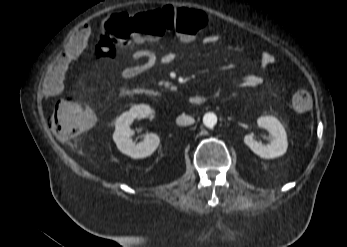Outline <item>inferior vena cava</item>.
Listing matches in <instances>:
<instances>
[{
    "instance_id": "602c4592",
    "label": "inferior vena cava",
    "mask_w": 347,
    "mask_h": 247,
    "mask_svg": "<svg viewBox=\"0 0 347 247\" xmlns=\"http://www.w3.org/2000/svg\"><path fill=\"white\" fill-rule=\"evenodd\" d=\"M195 121L192 117L182 114L176 118V123L180 126H187L193 124Z\"/></svg>"
}]
</instances>
